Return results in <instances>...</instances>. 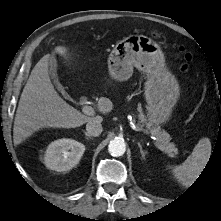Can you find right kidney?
<instances>
[{"label": "right kidney", "mask_w": 221, "mask_h": 221, "mask_svg": "<svg viewBox=\"0 0 221 221\" xmlns=\"http://www.w3.org/2000/svg\"><path fill=\"white\" fill-rule=\"evenodd\" d=\"M84 151L85 146L80 142L72 139H59L47 147L44 163L52 170L67 171L79 163Z\"/></svg>", "instance_id": "ca27d5eb"}]
</instances>
